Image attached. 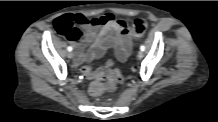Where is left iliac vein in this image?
Listing matches in <instances>:
<instances>
[{"label":"left iliac vein","instance_id":"obj_1","mask_svg":"<svg viewBox=\"0 0 218 122\" xmlns=\"http://www.w3.org/2000/svg\"><path fill=\"white\" fill-rule=\"evenodd\" d=\"M143 56H144V54H143V52L140 50V51L138 52V54H137V57H138L139 59H142Z\"/></svg>","mask_w":218,"mask_h":122}]
</instances>
